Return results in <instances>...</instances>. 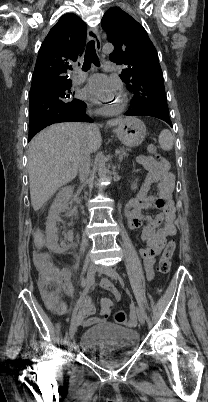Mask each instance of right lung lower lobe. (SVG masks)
I'll use <instances>...</instances> for the list:
<instances>
[{
	"instance_id": "obj_1",
	"label": "right lung lower lobe",
	"mask_w": 208,
	"mask_h": 402,
	"mask_svg": "<svg viewBox=\"0 0 208 402\" xmlns=\"http://www.w3.org/2000/svg\"><path fill=\"white\" fill-rule=\"evenodd\" d=\"M86 104L82 102L80 106L72 111L68 112H58L53 114H46L44 116H38L30 121L29 127V137L30 141L40 130L43 128L60 122H93L91 118H89L85 114Z\"/></svg>"
}]
</instances>
